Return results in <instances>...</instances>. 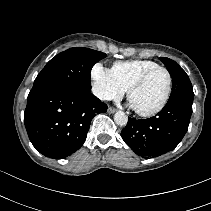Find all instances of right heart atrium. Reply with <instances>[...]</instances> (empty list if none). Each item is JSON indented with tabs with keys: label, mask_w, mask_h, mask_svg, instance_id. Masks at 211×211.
Instances as JSON below:
<instances>
[{
	"label": "right heart atrium",
	"mask_w": 211,
	"mask_h": 211,
	"mask_svg": "<svg viewBox=\"0 0 211 211\" xmlns=\"http://www.w3.org/2000/svg\"><path fill=\"white\" fill-rule=\"evenodd\" d=\"M93 90L95 95L101 100L119 99L124 90L113 77L111 70L96 64L92 68Z\"/></svg>",
	"instance_id": "d8ad5b80"
}]
</instances>
